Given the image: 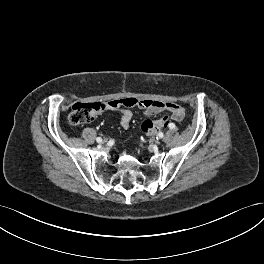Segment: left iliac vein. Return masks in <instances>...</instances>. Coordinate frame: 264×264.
Returning a JSON list of instances; mask_svg holds the SVG:
<instances>
[{
    "mask_svg": "<svg viewBox=\"0 0 264 264\" xmlns=\"http://www.w3.org/2000/svg\"><path fill=\"white\" fill-rule=\"evenodd\" d=\"M163 141L161 139H156V141L154 142L156 145L161 144Z\"/></svg>",
    "mask_w": 264,
    "mask_h": 264,
    "instance_id": "obj_1",
    "label": "left iliac vein"
}]
</instances>
